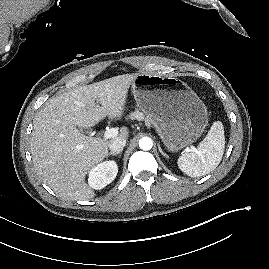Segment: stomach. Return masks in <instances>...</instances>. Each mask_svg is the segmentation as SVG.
<instances>
[{
	"instance_id": "stomach-1",
	"label": "stomach",
	"mask_w": 269,
	"mask_h": 269,
	"mask_svg": "<svg viewBox=\"0 0 269 269\" xmlns=\"http://www.w3.org/2000/svg\"><path fill=\"white\" fill-rule=\"evenodd\" d=\"M132 90L137 107L171 152L192 144L207 126L205 104L180 79L141 73L132 82Z\"/></svg>"
}]
</instances>
